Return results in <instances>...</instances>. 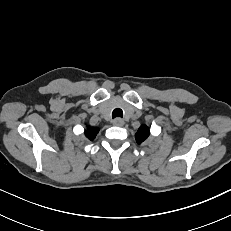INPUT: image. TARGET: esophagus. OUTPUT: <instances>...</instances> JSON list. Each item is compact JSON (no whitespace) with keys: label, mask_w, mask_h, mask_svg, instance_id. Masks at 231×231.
I'll list each match as a JSON object with an SVG mask.
<instances>
[{"label":"esophagus","mask_w":231,"mask_h":231,"mask_svg":"<svg viewBox=\"0 0 231 231\" xmlns=\"http://www.w3.org/2000/svg\"><path fill=\"white\" fill-rule=\"evenodd\" d=\"M113 124L115 126H123L124 125V120L121 119V118H116L114 121H113Z\"/></svg>","instance_id":"esophagus-1"}]
</instances>
